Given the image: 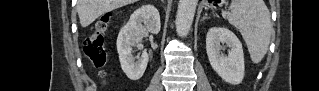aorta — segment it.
Listing matches in <instances>:
<instances>
[{
	"instance_id": "762f6f07",
	"label": "aorta",
	"mask_w": 319,
	"mask_h": 91,
	"mask_svg": "<svg viewBox=\"0 0 319 91\" xmlns=\"http://www.w3.org/2000/svg\"><path fill=\"white\" fill-rule=\"evenodd\" d=\"M198 0H179L175 26L178 35H186L192 25Z\"/></svg>"
}]
</instances>
